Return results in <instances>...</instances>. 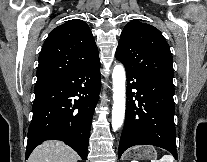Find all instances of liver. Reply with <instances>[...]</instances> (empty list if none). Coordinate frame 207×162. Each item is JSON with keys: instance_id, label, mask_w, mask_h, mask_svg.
I'll list each match as a JSON object with an SVG mask.
<instances>
[{"instance_id": "obj_1", "label": "liver", "mask_w": 207, "mask_h": 162, "mask_svg": "<svg viewBox=\"0 0 207 162\" xmlns=\"http://www.w3.org/2000/svg\"><path fill=\"white\" fill-rule=\"evenodd\" d=\"M79 156L61 141H45L31 153L27 162H77Z\"/></svg>"}]
</instances>
